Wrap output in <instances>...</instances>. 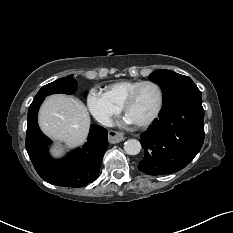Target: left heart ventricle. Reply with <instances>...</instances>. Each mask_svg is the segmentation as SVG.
Returning a JSON list of instances; mask_svg holds the SVG:
<instances>
[{
    "label": "left heart ventricle",
    "mask_w": 233,
    "mask_h": 233,
    "mask_svg": "<svg viewBox=\"0 0 233 233\" xmlns=\"http://www.w3.org/2000/svg\"><path fill=\"white\" fill-rule=\"evenodd\" d=\"M159 100L158 90L152 85L144 86L129 107L127 116L134 122L147 119L156 109Z\"/></svg>",
    "instance_id": "1"
}]
</instances>
